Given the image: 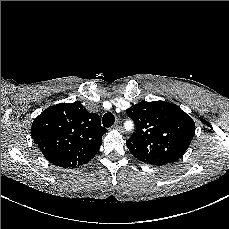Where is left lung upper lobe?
<instances>
[{"label": "left lung upper lobe", "mask_w": 229, "mask_h": 229, "mask_svg": "<svg viewBox=\"0 0 229 229\" xmlns=\"http://www.w3.org/2000/svg\"><path fill=\"white\" fill-rule=\"evenodd\" d=\"M126 112L136 125L127 147L134 157L151 165L180 159L195 135L192 118L174 104L144 100Z\"/></svg>", "instance_id": "1"}]
</instances>
